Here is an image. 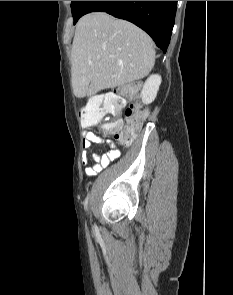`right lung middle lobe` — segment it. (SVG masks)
<instances>
[{
    "mask_svg": "<svg viewBox=\"0 0 233 295\" xmlns=\"http://www.w3.org/2000/svg\"><path fill=\"white\" fill-rule=\"evenodd\" d=\"M87 1H72L71 9L72 15L74 18V24L78 21V19L82 16V12L84 10L85 4Z\"/></svg>",
    "mask_w": 233,
    "mask_h": 295,
    "instance_id": "1",
    "label": "right lung middle lobe"
}]
</instances>
